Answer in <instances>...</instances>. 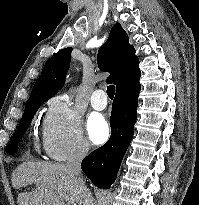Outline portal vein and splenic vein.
<instances>
[{
  "label": "portal vein and splenic vein",
  "mask_w": 199,
  "mask_h": 205,
  "mask_svg": "<svg viewBox=\"0 0 199 205\" xmlns=\"http://www.w3.org/2000/svg\"><path fill=\"white\" fill-rule=\"evenodd\" d=\"M69 204H73L71 198H69L68 196L66 195H61ZM73 205H76V204H73Z\"/></svg>",
  "instance_id": "obj_1"
}]
</instances>
